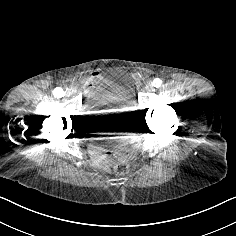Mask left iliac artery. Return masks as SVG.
<instances>
[{
	"label": "left iliac artery",
	"instance_id": "left-iliac-artery-1",
	"mask_svg": "<svg viewBox=\"0 0 236 236\" xmlns=\"http://www.w3.org/2000/svg\"><path fill=\"white\" fill-rule=\"evenodd\" d=\"M161 84H162V80H160L159 78H155L152 82V86H154L156 88L160 87Z\"/></svg>",
	"mask_w": 236,
	"mask_h": 236
}]
</instances>
